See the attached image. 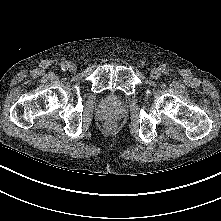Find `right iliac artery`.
Instances as JSON below:
<instances>
[{
	"label": "right iliac artery",
	"instance_id": "obj_1",
	"mask_svg": "<svg viewBox=\"0 0 221 221\" xmlns=\"http://www.w3.org/2000/svg\"><path fill=\"white\" fill-rule=\"evenodd\" d=\"M69 68V63L67 61H64L61 63V69L62 70H67Z\"/></svg>",
	"mask_w": 221,
	"mask_h": 221
}]
</instances>
